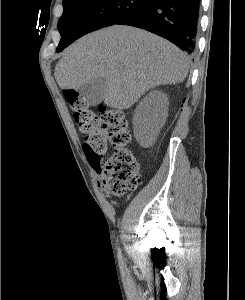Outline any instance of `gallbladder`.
Masks as SVG:
<instances>
[{"mask_svg": "<svg viewBox=\"0 0 245 300\" xmlns=\"http://www.w3.org/2000/svg\"><path fill=\"white\" fill-rule=\"evenodd\" d=\"M106 86L107 80L105 78H97L81 85L79 93L88 105L96 106L103 100Z\"/></svg>", "mask_w": 245, "mask_h": 300, "instance_id": "gallbladder-1", "label": "gallbladder"}]
</instances>
